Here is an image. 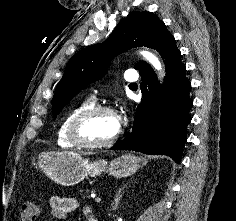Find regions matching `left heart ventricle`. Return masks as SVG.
I'll list each match as a JSON object with an SVG mask.
<instances>
[{"instance_id":"obj_1","label":"left heart ventricle","mask_w":236,"mask_h":221,"mask_svg":"<svg viewBox=\"0 0 236 221\" xmlns=\"http://www.w3.org/2000/svg\"><path fill=\"white\" fill-rule=\"evenodd\" d=\"M118 128L116 117L102 112L85 121L81 128V134L88 141L102 142L112 138Z\"/></svg>"}]
</instances>
